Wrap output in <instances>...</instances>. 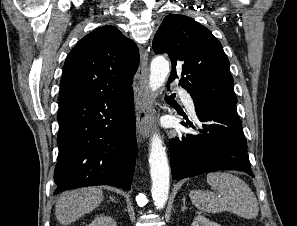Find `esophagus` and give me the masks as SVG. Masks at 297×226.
<instances>
[{"instance_id":"esophagus-1","label":"esophagus","mask_w":297,"mask_h":226,"mask_svg":"<svg viewBox=\"0 0 297 226\" xmlns=\"http://www.w3.org/2000/svg\"><path fill=\"white\" fill-rule=\"evenodd\" d=\"M149 78V64L148 53L143 51L141 57L140 79L138 83V90L135 97L136 107V128L137 133L142 138H147L151 129V92L148 85Z\"/></svg>"}]
</instances>
